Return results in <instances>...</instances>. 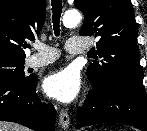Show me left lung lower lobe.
Listing matches in <instances>:
<instances>
[{
  "mask_svg": "<svg viewBox=\"0 0 147 131\" xmlns=\"http://www.w3.org/2000/svg\"><path fill=\"white\" fill-rule=\"evenodd\" d=\"M75 128L101 123H122L147 131V96L144 88L116 83L93 87L78 109Z\"/></svg>",
  "mask_w": 147,
  "mask_h": 131,
  "instance_id": "0a47b994",
  "label": "left lung lower lobe"
}]
</instances>
